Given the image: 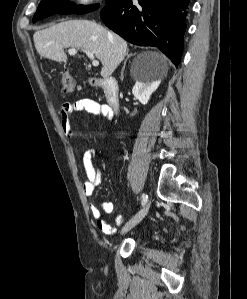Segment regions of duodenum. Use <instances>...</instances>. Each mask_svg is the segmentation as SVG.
Wrapping results in <instances>:
<instances>
[{
  "instance_id": "duodenum-1",
  "label": "duodenum",
  "mask_w": 247,
  "mask_h": 299,
  "mask_svg": "<svg viewBox=\"0 0 247 299\" xmlns=\"http://www.w3.org/2000/svg\"><path fill=\"white\" fill-rule=\"evenodd\" d=\"M95 86L101 87L104 91L107 103L113 111H117L120 104L119 85L114 78H102L93 80Z\"/></svg>"
}]
</instances>
